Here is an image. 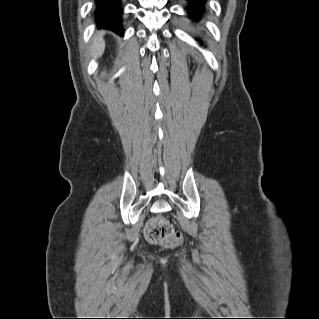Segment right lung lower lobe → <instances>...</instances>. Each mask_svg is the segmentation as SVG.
I'll return each mask as SVG.
<instances>
[{
    "mask_svg": "<svg viewBox=\"0 0 319 319\" xmlns=\"http://www.w3.org/2000/svg\"><path fill=\"white\" fill-rule=\"evenodd\" d=\"M121 13L120 0H96V23L100 27L110 28L122 35Z\"/></svg>",
    "mask_w": 319,
    "mask_h": 319,
    "instance_id": "obj_1",
    "label": "right lung lower lobe"
}]
</instances>
